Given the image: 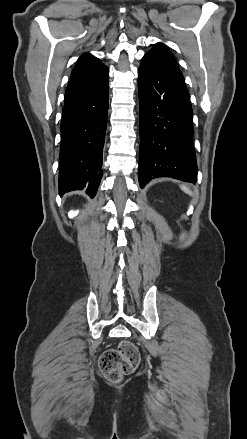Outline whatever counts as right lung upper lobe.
<instances>
[{
    "mask_svg": "<svg viewBox=\"0 0 247 439\" xmlns=\"http://www.w3.org/2000/svg\"><path fill=\"white\" fill-rule=\"evenodd\" d=\"M108 68L91 54L82 55L71 73L65 97L97 89L108 82Z\"/></svg>",
    "mask_w": 247,
    "mask_h": 439,
    "instance_id": "obj_1",
    "label": "right lung upper lobe"
}]
</instances>
